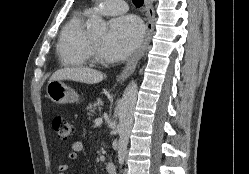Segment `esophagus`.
I'll use <instances>...</instances> for the list:
<instances>
[{
	"mask_svg": "<svg viewBox=\"0 0 249 174\" xmlns=\"http://www.w3.org/2000/svg\"><path fill=\"white\" fill-rule=\"evenodd\" d=\"M144 11H145V20H146V34L144 41L141 47L133 54V56L128 60L125 68L117 76V81L126 80L135 70L138 61L143 56L144 52L149 46L153 30H154V13L150 6L149 0H144Z\"/></svg>",
	"mask_w": 249,
	"mask_h": 174,
	"instance_id": "esophagus-1",
	"label": "esophagus"
}]
</instances>
